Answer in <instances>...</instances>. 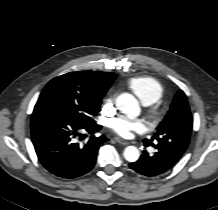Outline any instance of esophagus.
Listing matches in <instances>:
<instances>
[{"label":"esophagus","instance_id":"obj_1","mask_svg":"<svg viewBox=\"0 0 218 210\" xmlns=\"http://www.w3.org/2000/svg\"><path fill=\"white\" fill-rule=\"evenodd\" d=\"M114 139H115L116 142H118V143H120L122 145H128L129 144L128 141H126V140H124V139H122L120 137H115Z\"/></svg>","mask_w":218,"mask_h":210}]
</instances>
